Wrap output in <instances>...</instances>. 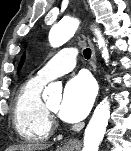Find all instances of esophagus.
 <instances>
[{
	"label": "esophagus",
	"instance_id": "esophagus-1",
	"mask_svg": "<svg viewBox=\"0 0 131 151\" xmlns=\"http://www.w3.org/2000/svg\"><path fill=\"white\" fill-rule=\"evenodd\" d=\"M90 45H91V50H92V54H91L92 67H93V70L96 71V53H95V48H94L92 43H90ZM76 145H77V141L76 140H70V141L65 143L64 149L65 150H72V149L75 148Z\"/></svg>",
	"mask_w": 131,
	"mask_h": 151
}]
</instances>
